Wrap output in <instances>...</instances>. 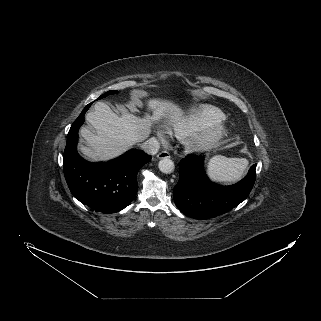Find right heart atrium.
<instances>
[{"mask_svg": "<svg viewBox=\"0 0 321 321\" xmlns=\"http://www.w3.org/2000/svg\"><path fill=\"white\" fill-rule=\"evenodd\" d=\"M157 136H158V139L161 140L162 142H165V141H166L165 136L163 135V133L158 132V133H157Z\"/></svg>", "mask_w": 321, "mask_h": 321, "instance_id": "d8ad5b80", "label": "right heart atrium"}]
</instances>
